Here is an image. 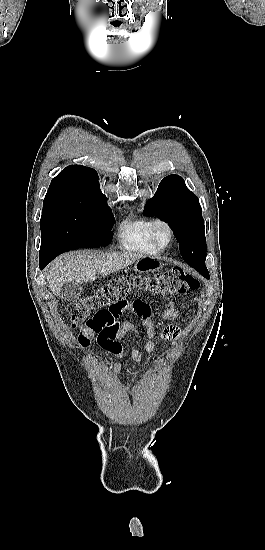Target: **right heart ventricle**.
I'll use <instances>...</instances> for the list:
<instances>
[{"label":"right heart ventricle","instance_id":"obj_1","mask_svg":"<svg viewBox=\"0 0 265 550\" xmlns=\"http://www.w3.org/2000/svg\"><path fill=\"white\" fill-rule=\"evenodd\" d=\"M152 220L149 218L128 219L119 228L118 238L121 246L129 251L142 253H157L150 236Z\"/></svg>","mask_w":265,"mask_h":550}]
</instances>
